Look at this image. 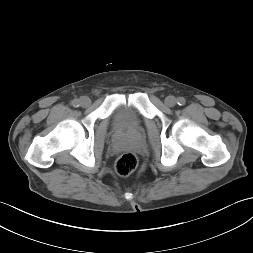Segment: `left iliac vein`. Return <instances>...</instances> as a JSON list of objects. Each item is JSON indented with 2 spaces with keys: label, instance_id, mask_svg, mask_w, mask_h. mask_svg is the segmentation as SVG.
<instances>
[{
  "label": "left iliac vein",
  "instance_id": "left-iliac-vein-1",
  "mask_svg": "<svg viewBox=\"0 0 253 253\" xmlns=\"http://www.w3.org/2000/svg\"><path fill=\"white\" fill-rule=\"evenodd\" d=\"M176 98L174 96H167L165 98V104L168 106V107H174L176 105Z\"/></svg>",
  "mask_w": 253,
  "mask_h": 253
}]
</instances>
